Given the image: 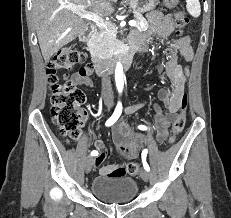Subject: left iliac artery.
I'll return each instance as SVG.
<instances>
[{
	"label": "left iliac artery",
	"mask_w": 231,
	"mask_h": 218,
	"mask_svg": "<svg viewBox=\"0 0 231 218\" xmlns=\"http://www.w3.org/2000/svg\"><path fill=\"white\" fill-rule=\"evenodd\" d=\"M138 128H139L140 130H147V129H148V127H147V126H144V125H139ZM146 156H147V150L144 149V150L142 151L143 166H144V169H145L146 171H149L150 168H149V165H148L147 162H146Z\"/></svg>",
	"instance_id": "44dca946"
}]
</instances>
